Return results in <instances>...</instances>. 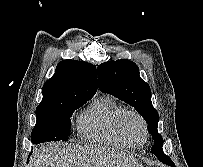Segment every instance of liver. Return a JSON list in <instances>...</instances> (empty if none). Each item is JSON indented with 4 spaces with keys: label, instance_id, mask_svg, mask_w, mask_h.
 Here are the masks:
<instances>
[{
    "label": "liver",
    "instance_id": "6515ba94",
    "mask_svg": "<svg viewBox=\"0 0 203 167\" xmlns=\"http://www.w3.org/2000/svg\"><path fill=\"white\" fill-rule=\"evenodd\" d=\"M29 167H143L135 158L102 147L51 142L35 150Z\"/></svg>",
    "mask_w": 203,
    "mask_h": 167
}]
</instances>
